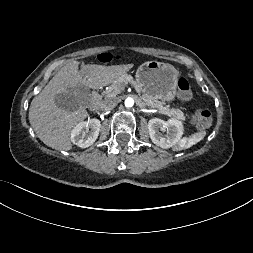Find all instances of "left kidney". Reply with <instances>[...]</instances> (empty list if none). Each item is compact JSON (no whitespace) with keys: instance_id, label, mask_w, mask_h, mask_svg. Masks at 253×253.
I'll list each match as a JSON object with an SVG mask.
<instances>
[{"instance_id":"left-kidney-1","label":"left kidney","mask_w":253,"mask_h":253,"mask_svg":"<svg viewBox=\"0 0 253 253\" xmlns=\"http://www.w3.org/2000/svg\"><path fill=\"white\" fill-rule=\"evenodd\" d=\"M148 131L154 144L163 149H167L178 144L183 135L184 127L181 121L174 118L168 121L153 118L148 122ZM160 131H166V134Z\"/></svg>"}]
</instances>
